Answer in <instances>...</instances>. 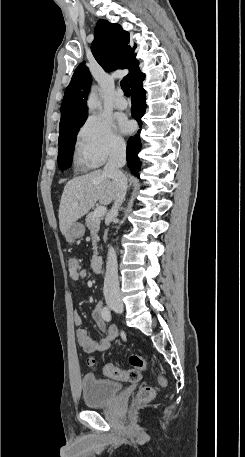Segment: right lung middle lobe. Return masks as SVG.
Segmentation results:
<instances>
[{"label":"right lung middle lobe","instance_id":"1","mask_svg":"<svg viewBox=\"0 0 245 457\" xmlns=\"http://www.w3.org/2000/svg\"><path fill=\"white\" fill-rule=\"evenodd\" d=\"M86 119L66 124L59 128L58 165L61 170L71 166V157L74 150V142L79 128Z\"/></svg>","mask_w":245,"mask_h":457}]
</instances>
